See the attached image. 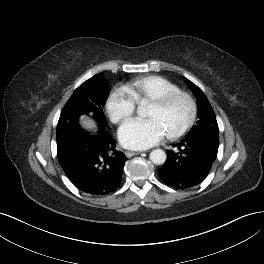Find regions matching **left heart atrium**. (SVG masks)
<instances>
[{"label": "left heart atrium", "mask_w": 264, "mask_h": 264, "mask_svg": "<svg viewBox=\"0 0 264 264\" xmlns=\"http://www.w3.org/2000/svg\"><path fill=\"white\" fill-rule=\"evenodd\" d=\"M166 135L162 124L154 118L131 119L119 129L121 143L131 149H147L159 143Z\"/></svg>", "instance_id": "left-heart-atrium-1"}]
</instances>
